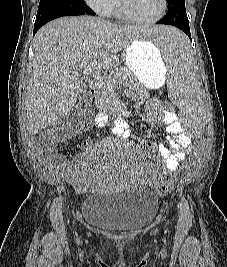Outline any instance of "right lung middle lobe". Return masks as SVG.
<instances>
[{"instance_id":"obj_1","label":"right lung middle lobe","mask_w":227,"mask_h":267,"mask_svg":"<svg viewBox=\"0 0 227 267\" xmlns=\"http://www.w3.org/2000/svg\"><path fill=\"white\" fill-rule=\"evenodd\" d=\"M40 3L82 5V4H85V1L84 0H40Z\"/></svg>"}]
</instances>
